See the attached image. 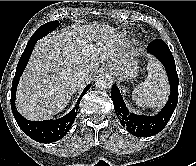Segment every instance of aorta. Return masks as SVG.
I'll list each match as a JSON object with an SVG mask.
<instances>
[{
  "label": "aorta",
  "mask_w": 196,
  "mask_h": 166,
  "mask_svg": "<svg viewBox=\"0 0 196 166\" xmlns=\"http://www.w3.org/2000/svg\"><path fill=\"white\" fill-rule=\"evenodd\" d=\"M95 85L101 90L110 89L113 85V79L111 75L103 73L96 78Z\"/></svg>",
  "instance_id": "1"
}]
</instances>
